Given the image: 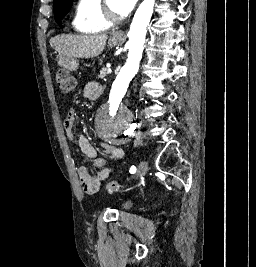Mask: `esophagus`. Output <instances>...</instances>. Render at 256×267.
I'll return each instance as SVG.
<instances>
[{
    "instance_id": "obj_1",
    "label": "esophagus",
    "mask_w": 256,
    "mask_h": 267,
    "mask_svg": "<svg viewBox=\"0 0 256 267\" xmlns=\"http://www.w3.org/2000/svg\"><path fill=\"white\" fill-rule=\"evenodd\" d=\"M119 36H124V34H119Z\"/></svg>"
}]
</instances>
